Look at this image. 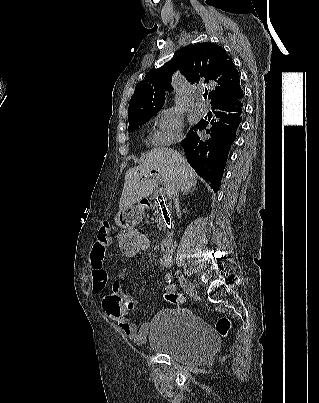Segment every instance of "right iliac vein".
Segmentation results:
<instances>
[{
    "mask_svg": "<svg viewBox=\"0 0 319 403\" xmlns=\"http://www.w3.org/2000/svg\"><path fill=\"white\" fill-rule=\"evenodd\" d=\"M178 279L182 288L190 295H196V289L191 281H189L182 273L177 272Z\"/></svg>",
    "mask_w": 319,
    "mask_h": 403,
    "instance_id": "63e3f726",
    "label": "right iliac vein"
}]
</instances>
